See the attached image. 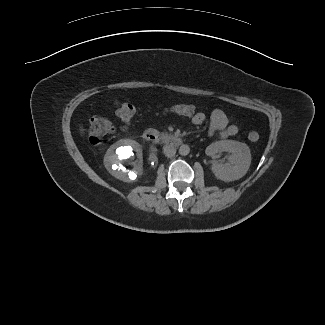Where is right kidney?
<instances>
[{"mask_svg":"<svg viewBox=\"0 0 325 325\" xmlns=\"http://www.w3.org/2000/svg\"><path fill=\"white\" fill-rule=\"evenodd\" d=\"M124 163L130 165L131 169L126 168ZM104 165L117 179L124 182L138 180L144 174L141 146L131 139L117 141L107 150Z\"/></svg>","mask_w":325,"mask_h":325,"instance_id":"ca27d5eb","label":"right kidney"}]
</instances>
